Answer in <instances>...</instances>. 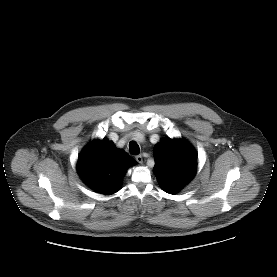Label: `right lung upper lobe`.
Returning <instances> with one entry per match:
<instances>
[{"instance_id":"right-lung-upper-lobe-1","label":"right lung upper lobe","mask_w":277,"mask_h":277,"mask_svg":"<svg viewBox=\"0 0 277 277\" xmlns=\"http://www.w3.org/2000/svg\"><path fill=\"white\" fill-rule=\"evenodd\" d=\"M135 160L106 140H95L81 152L77 170L92 189L111 195L120 189L121 179Z\"/></svg>"}]
</instances>
